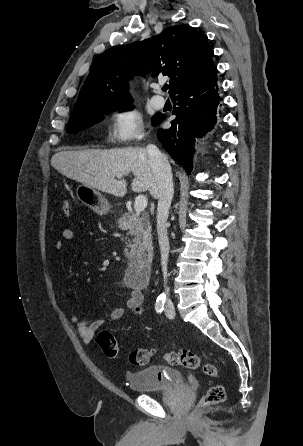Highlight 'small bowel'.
Wrapping results in <instances>:
<instances>
[{
    "label": "small bowel",
    "mask_w": 303,
    "mask_h": 446,
    "mask_svg": "<svg viewBox=\"0 0 303 446\" xmlns=\"http://www.w3.org/2000/svg\"><path fill=\"white\" fill-rule=\"evenodd\" d=\"M62 238L64 241H70L74 238L75 233L70 228L62 230ZM64 248L63 241H57L54 244L56 251H61ZM126 286L129 288V297L126 300L125 306L116 307L112 310L107 319L98 317H90L81 319L77 314H72L70 322L76 326L79 337L85 342L90 343L95 335V332L105 326L107 323L120 320L127 314H142L143 312V295L140 289L131 286L128 282Z\"/></svg>",
    "instance_id": "1"
}]
</instances>
